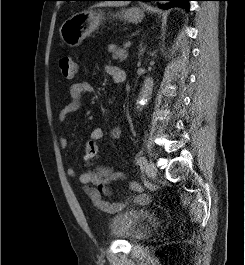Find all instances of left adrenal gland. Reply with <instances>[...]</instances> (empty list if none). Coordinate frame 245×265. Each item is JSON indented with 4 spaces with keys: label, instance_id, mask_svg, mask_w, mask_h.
I'll list each match as a JSON object with an SVG mask.
<instances>
[{
    "label": "left adrenal gland",
    "instance_id": "a2214340",
    "mask_svg": "<svg viewBox=\"0 0 245 265\" xmlns=\"http://www.w3.org/2000/svg\"><path fill=\"white\" fill-rule=\"evenodd\" d=\"M143 53H144V48L141 49L140 55H143Z\"/></svg>",
    "mask_w": 245,
    "mask_h": 265
}]
</instances>
